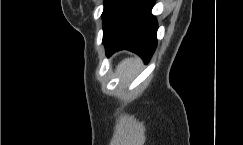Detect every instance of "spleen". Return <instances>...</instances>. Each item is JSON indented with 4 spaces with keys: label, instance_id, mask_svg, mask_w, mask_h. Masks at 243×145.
<instances>
[{
    "label": "spleen",
    "instance_id": "obj_1",
    "mask_svg": "<svg viewBox=\"0 0 243 145\" xmlns=\"http://www.w3.org/2000/svg\"><path fill=\"white\" fill-rule=\"evenodd\" d=\"M140 65L141 61L139 58H126L118 64L116 73L121 76L122 79H127L136 73Z\"/></svg>",
    "mask_w": 243,
    "mask_h": 145
}]
</instances>
